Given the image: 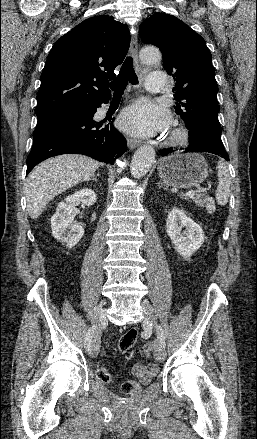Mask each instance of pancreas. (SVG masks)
<instances>
[{
    "label": "pancreas",
    "mask_w": 257,
    "mask_h": 439,
    "mask_svg": "<svg viewBox=\"0 0 257 439\" xmlns=\"http://www.w3.org/2000/svg\"><path fill=\"white\" fill-rule=\"evenodd\" d=\"M189 199L202 208L206 207L207 200L204 193H195Z\"/></svg>",
    "instance_id": "obj_1"
}]
</instances>
